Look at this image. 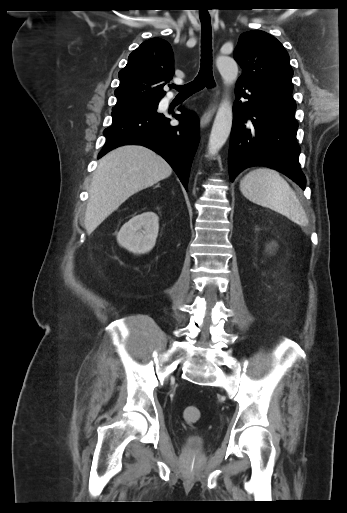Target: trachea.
Returning a JSON list of instances; mask_svg holds the SVG:
<instances>
[{
    "label": "trachea",
    "instance_id": "trachea-1",
    "mask_svg": "<svg viewBox=\"0 0 347 513\" xmlns=\"http://www.w3.org/2000/svg\"><path fill=\"white\" fill-rule=\"evenodd\" d=\"M202 35H201V64L200 71L196 78L188 84L183 86L170 85L179 91V94L192 95L195 92L203 89L205 86L208 88L215 86V81L212 73V28L211 20H201Z\"/></svg>",
    "mask_w": 347,
    "mask_h": 513
}]
</instances>
